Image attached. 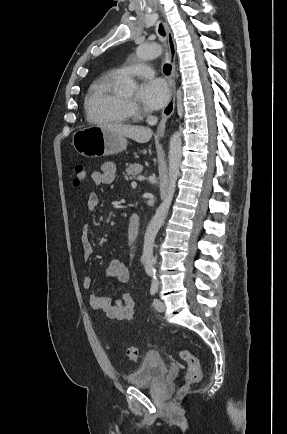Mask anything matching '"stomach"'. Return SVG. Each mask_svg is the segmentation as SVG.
<instances>
[{
  "label": "stomach",
  "mask_w": 287,
  "mask_h": 434,
  "mask_svg": "<svg viewBox=\"0 0 287 434\" xmlns=\"http://www.w3.org/2000/svg\"><path fill=\"white\" fill-rule=\"evenodd\" d=\"M127 139L107 128L87 126L74 132L72 145L85 157H102L121 153L127 147Z\"/></svg>",
  "instance_id": "0dacf381"
}]
</instances>
